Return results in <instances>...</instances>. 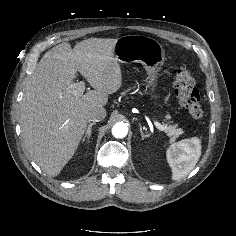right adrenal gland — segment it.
Instances as JSON below:
<instances>
[{
    "label": "right adrenal gland",
    "instance_id": "obj_1",
    "mask_svg": "<svg viewBox=\"0 0 236 236\" xmlns=\"http://www.w3.org/2000/svg\"><path fill=\"white\" fill-rule=\"evenodd\" d=\"M95 124H96V122H93V123H90V124L88 125V128H87V130H86V132H85V135H84V137H83V142H85V141H86V143L89 142L90 135H91V130H92V126H94Z\"/></svg>",
    "mask_w": 236,
    "mask_h": 236
}]
</instances>
